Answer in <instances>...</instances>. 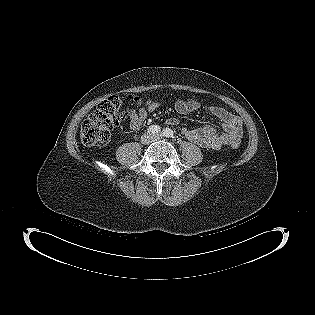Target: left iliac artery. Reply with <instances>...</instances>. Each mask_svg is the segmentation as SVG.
<instances>
[{
	"mask_svg": "<svg viewBox=\"0 0 315 315\" xmlns=\"http://www.w3.org/2000/svg\"><path fill=\"white\" fill-rule=\"evenodd\" d=\"M162 135L167 138H174V132L170 128L164 129Z\"/></svg>",
	"mask_w": 315,
	"mask_h": 315,
	"instance_id": "1",
	"label": "left iliac artery"
}]
</instances>
